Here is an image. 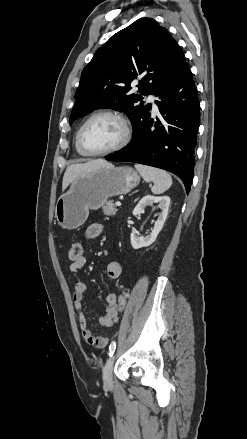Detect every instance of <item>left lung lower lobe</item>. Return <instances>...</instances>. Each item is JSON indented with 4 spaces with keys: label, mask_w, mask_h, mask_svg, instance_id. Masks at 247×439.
Segmentation results:
<instances>
[{
    "label": "left lung lower lobe",
    "mask_w": 247,
    "mask_h": 439,
    "mask_svg": "<svg viewBox=\"0 0 247 439\" xmlns=\"http://www.w3.org/2000/svg\"><path fill=\"white\" fill-rule=\"evenodd\" d=\"M164 119H146L124 149L105 157L113 162H135L178 175L189 192L193 180L194 148L199 123L197 88L188 64L157 94ZM155 129H152V127Z\"/></svg>",
    "instance_id": "1"
}]
</instances>
